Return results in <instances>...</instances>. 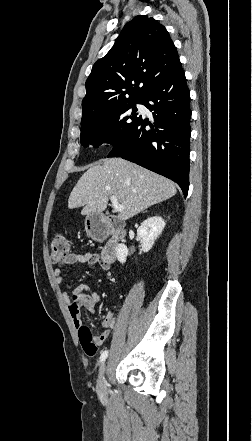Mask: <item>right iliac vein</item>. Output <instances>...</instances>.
Returning a JSON list of instances; mask_svg holds the SVG:
<instances>
[{
  "label": "right iliac vein",
  "instance_id": "right-iliac-vein-1",
  "mask_svg": "<svg viewBox=\"0 0 252 441\" xmlns=\"http://www.w3.org/2000/svg\"><path fill=\"white\" fill-rule=\"evenodd\" d=\"M105 372H106V363H103L100 368L98 386H97L98 395L101 398H105L107 396L106 385H105Z\"/></svg>",
  "mask_w": 252,
  "mask_h": 441
}]
</instances>
